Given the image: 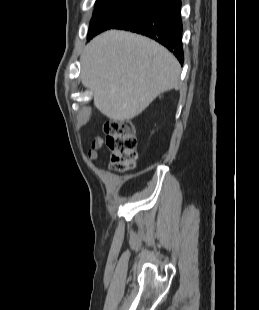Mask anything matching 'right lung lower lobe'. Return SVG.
Listing matches in <instances>:
<instances>
[{
    "label": "right lung lower lobe",
    "mask_w": 259,
    "mask_h": 310,
    "mask_svg": "<svg viewBox=\"0 0 259 310\" xmlns=\"http://www.w3.org/2000/svg\"><path fill=\"white\" fill-rule=\"evenodd\" d=\"M115 29L136 32L158 41L183 64L181 0H159L155 6Z\"/></svg>",
    "instance_id": "1"
}]
</instances>
